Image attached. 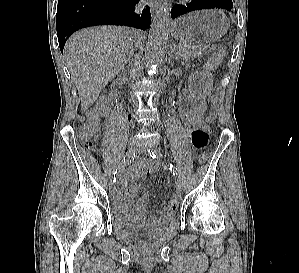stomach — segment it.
<instances>
[{
  "instance_id": "1",
  "label": "stomach",
  "mask_w": 299,
  "mask_h": 273,
  "mask_svg": "<svg viewBox=\"0 0 299 273\" xmlns=\"http://www.w3.org/2000/svg\"><path fill=\"white\" fill-rule=\"evenodd\" d=\"M228 17L219 10L196 11L176 19L171 27L173 36L183 43H207L219 39L229 28ZM209 83L205 74L192 77V88L202 95Z\"/></svg>"
}]
</instances>
